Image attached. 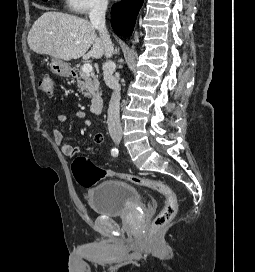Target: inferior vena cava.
Masks as SVG:
<instances>
[{"instance_id":"602c4592","label":"inferior vena cava","mask_w":255,"mask_h":272,"mask_svg":"<svg viewBox=\"0 0 255 272\" xmlns=\"http://www.w3.org/2000/svg\"><path fill=\"white\" fill-rule=\"evenodd\" d=\"M107 6V0L98 1L91 9L89 17L93 27L99 32L100 39L104 45L105 56L110 58L114 52V47L105 25ZM115 68L116 65L111 60L105 62L102 66L104 81L109 88L113 89L108 108V130L110 135H121L122 127L120 123V84L118 79L113 75Z\"/></svg>"}]
</instances>
